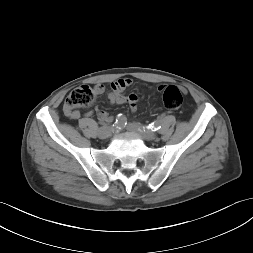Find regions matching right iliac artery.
<instances>
[{
	"mask_svg": "<svg viewBox=\"0 0 253 253\" xmlns=\"http://www.w3.org/2000/svg\"><path fill=\"white\" fill-rule=\"evenodd\" d=\"M126 124H127V118L122 114H118L113 126H115L116 129H121L125 127Z\"/></svg>",
	"mask_w": 253,
	"mask_h": 253,
	"instance_id": "1",
	"label": "right iliac artery"
}]
</instances>
